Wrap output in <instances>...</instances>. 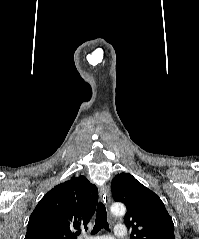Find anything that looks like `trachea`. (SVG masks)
I'll return each instance as SVG.
<instances>
[{
  "instance_id": "3493384b",
  "label": "trachea",
  "mask_w": 199,
  "mask_h": 239,
  "mask_svg": "<svg viewBox=\"0 0 199 239\" xmlns=\"http://www.w3.org/2000/svg\"><path fill=\"white\" fill-rule=\"evenodd\" d=\"M109 230V224L107 222L106 208L103 203L97 205V215L95 219V225L92 230V234L98 233L101 229Z\"/></svg>"
}]
</instances>
